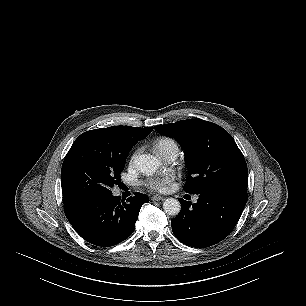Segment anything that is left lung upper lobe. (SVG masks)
Masks as SVG:
<instances>
[{
    "label": "left lung upper lobe",
    "instance_id": "obj_1",
    "mask_svg": "<svg viewBox=\"0 0 306 306\" xmlns=\"http://www.w3.org/2000/svg\"><path fill=\"white\" fill-rule=\"evenodd\" d=\"M175 138L190 172L184 190L190 194L228 190L247 192L248 169L232 136L222 127L201 119L181 120L154 127Z\"/></svg>",
    "mask_w": 306,
    "mask_h": 306
}]
</instances>
